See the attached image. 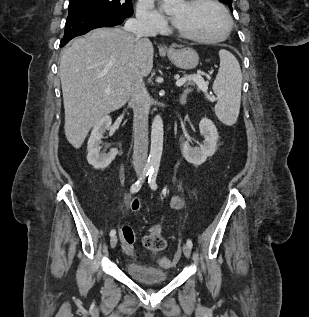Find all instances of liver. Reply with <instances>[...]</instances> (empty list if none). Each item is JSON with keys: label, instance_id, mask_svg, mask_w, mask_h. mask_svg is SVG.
I'll list each match as a JSON object with an SVG mask.
<instances>
[{"label": "liver", "instance_id": "liver-1", "mask_svg": "<svg viewBox=\"0 0 309 317\" xmlns=\"http://www.w3.org/2000/svg\"><path fill=\"white\" fill-rule=\"evenodd\" d=\"M153 53L149 39L120 28L94 29L63 50L59 75L70 144L80 148L100 119L127 103L135 70L148 76Z\"/></svg>", "mask_w": 309, "mask_h": 317}]
</instances>
